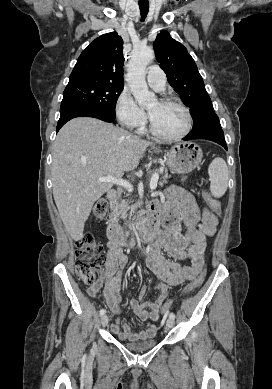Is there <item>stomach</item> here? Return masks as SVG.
Wrapping results in <instances>:
<instances>
[{
    "instance_id": "0dacf381",
    "label": "stomach",
    "mask_w": 272,
    "mask_h": 389,
    "mask_svg": "<svg viewBox=\"0 0 272 389\" xmlns=\"http://www.w3.org/2000/svg\"><path fill=\"white\" fill-rule=\"evenodd\" d=\"M155 153H160L158 148ZM203 157L202 149L193 142H182L171 147L164 154L167 166L174 173L187 174L193 171L201 162Z\"/></svg>"
}]
</instances>
